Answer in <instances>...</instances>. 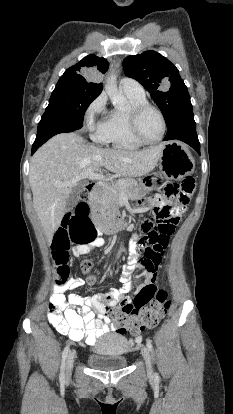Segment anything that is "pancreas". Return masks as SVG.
Instances as JSON below:
<instances>
[{
  "label": "pancreas",
  "mask_w": 233,
  "mask_h": 414,
  "mask_svg": "<svg viewBox=\"0 0 233 414\" xmlns=\"http://www.w3.org/2000/svg\"><path fill=\"white\" fill-rule=\"evenodd\" d=\"M119 180L123 181L124 185L111 181L105 184L100 193V212L105 217H113L117 213L121 195L129 197L132 188L137 189V183L134 179L121 177Z\"/></svg>",
  "instance_id": "obj_1"
}]
</instances>
